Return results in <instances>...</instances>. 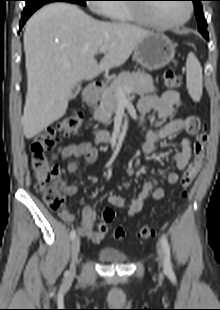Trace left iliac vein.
Returning <instances> with one entry per match:
<instances>
[{
	"label": "left iliac vein",
	"instance_id": "obj_1",
	"mask_svg": "<svg viewBox=\"0 0 220 310\" xmlns=\"http://www.w3.org/2000/svg\"><path fill=\"white\" fill-rule=\"evenodd\" d=\"M158 261H159V266L163 267L164 265V253L163 250L160 248L158 245Z\"/></svg>",
	"mask_w": 220,
	"mask_h": 310
}]
</instances>
